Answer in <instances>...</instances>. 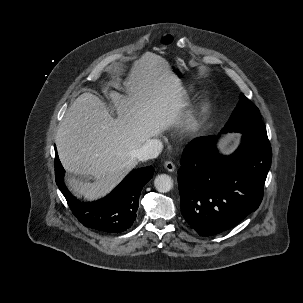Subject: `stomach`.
<instances>
[{"label": "stomach", "instance_id": "0dacf381", "mask_svg": "<svg viewBox=\"0 0 303 303\" xmlns=\"http://www.w3.org/2000/svg\"><path fill=\"white\" fill-rule=\"evenodd\" d=\"M172 70H173V72H174L177 76H179L180 74L183 73L182 67H181V65H179V64L176 65L175 67H173Z\"/></svg>", "mask_w": 303, "mask_h": 303}]
</instances>
